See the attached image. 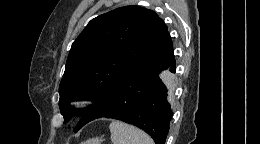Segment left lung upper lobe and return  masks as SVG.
I'll return each instance as SVG.
<instances>
[{
    "label": "left lung upper lobe",
    "instance_id": "5c2ea615",
    "mask_svg": "<svg viewBox=\"0 0 260 144\" xmlns=\"http://www.w3.org/2000/svg\"><path fill=\"white\" fill-rule=\"evenodd\" d=\"M171 43L164 21L149 9L124 6L92 19L73 42L59 86V106L64 120L77 113L80 130L107 107L113 91L134 67ZM161 62L159 69H170ZM172 72V71H171ZM93 102L76 110L69 102Z\"/></svg>",
    "mask_w": 260,
    "mask_h": 144
}]
</instances>
